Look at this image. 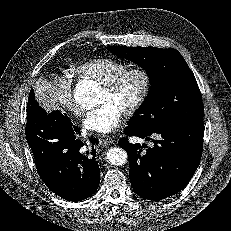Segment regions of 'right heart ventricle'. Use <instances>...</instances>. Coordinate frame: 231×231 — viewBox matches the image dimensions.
<instances>
[{
    "mask_svg": "<svg viewBox=\"0 0 231 231\" xmlns=\"http://www.w3.org/2000/svg\"><path fill=\"white\" fill-rule=\"evenodd\" d=\"M126 68L127 64L120 60L101 57L77 64L73 67V71L81 77L104 84Z\"/></svg>",
    "mask_w": 231,
    "mask_h": 231,
    "instance_id": "1",
    "label": "right heart ventricle"
}]
</instances>
